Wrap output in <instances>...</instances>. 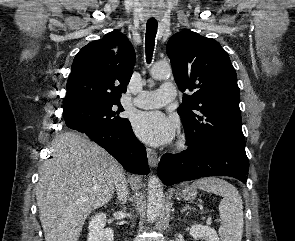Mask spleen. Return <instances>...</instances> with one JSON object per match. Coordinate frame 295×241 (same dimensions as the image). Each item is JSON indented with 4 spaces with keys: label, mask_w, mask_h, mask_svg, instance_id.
Listing matches in <instances>:
<instances>
[{
    "label": "spleen",
    "mask_w": 295,
    "mask_h": 241,
    "mask_svg": "<svg viewBox=\"0 0 295 241\" xmlns=\"http://www.w3.org/2000/svg\"><path fill=\"white\" fill-rule=\"evenodd\" d=\"M192 187L199 188L223 197L219 204L222 220L219 227L221 241H241L243 234V202L235 186L216 178H203L193 182Z\"/></svg>",
    "instance_id": "1"
}]
</instances>
